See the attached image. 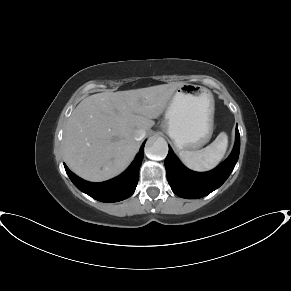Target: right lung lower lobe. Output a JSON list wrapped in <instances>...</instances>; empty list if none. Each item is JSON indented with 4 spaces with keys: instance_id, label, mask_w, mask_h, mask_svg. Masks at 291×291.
Segmentation results:
<instances>
[{
    "instance_id": "right-lung-lower-lobe-1",
    "label": "right lung lower lobe",
    "mask_w": 291,
    "mask_h": 291,
    "mask_svg": "<svg viewBox=\"0 0 291 291\" xmlns=\"http://www.w3.org/2000/svg\"><path fill=\"white\" fill-rule=\"evenodd\" d=\"M144 145L145 142L142 144L135 160L125 172L105 182L92 183L85 181L72 173L65 164L64 167L69 178L80 191L101 202H118L130 197L136 189L139 168L143 160Z\"/></svg>"
}]
</instances>
